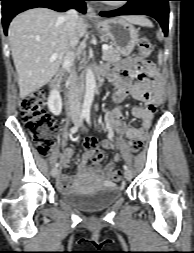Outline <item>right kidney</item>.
<instances>
[{"mask_svg": "<svg viewBox=\"0 0 194 253\" xmlns=\"http://www.w3.org/2000/svg\"><path fill=\"white\" fill-rule=\"evenodd\" d=\"M48 107L51 113L58 116L62 111V101L60 94L57 91L51 92L48 98Z\"/></svg>", "mask_w": 194, "mask_h": 253, "instance_id": "right-kidney-1", "label": "right kidney"}]
</instances>
